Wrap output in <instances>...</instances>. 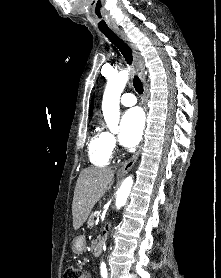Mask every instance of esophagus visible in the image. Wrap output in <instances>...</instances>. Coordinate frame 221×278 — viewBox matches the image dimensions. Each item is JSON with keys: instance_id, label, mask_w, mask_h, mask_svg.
Returning a JSON list of instances; mask_svg holds the SVG:
<instances>
[{"instance_id": "34e87169", "label": "esophagus", "mask_w": 221, "mask_h": 278, "mask_svg": "<svg viewBox=\"0 0 221 278\" xmlns=\"http://www.w3.org/2000/svg\"><path fill=\"white\" fill-rule=\"evenodd\" d=\"M114 32L119 35L122 40H124L131 48L132 50V54H133V59H134V63L136 65V70L137 73L141 79V81L143 82V87H144V100H147V96H148V86L146 83V79H145V65H144V60L137 48V46L132 43V41L129 39V37L122 31L119 29L114 30ZM142 148V143L139 145L137 151L134 153V155L127 161L125 162L122 167L119 168L118 170V174L119 175H126L128 173V171L133 167V165L135 164V162L137 161L139 155H140V151Z\"/></svg>"}]
</instances>
